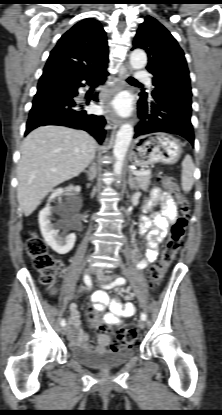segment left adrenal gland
Masks as SVG:
<instances>
[{"mask_svg": "<svg viewBox=\"0 0 222 415\" xmlns=\"http://www.w3.org/2000/svg\"><path fill=\"white\" fill-rule=\"evenodd\" d=\"M128 184L131 189L138 190V187L135 182V178L133 177L131 170H129Z\"/></svg>", "mask_w": 222, "mask_h": 415, "instance_id": "obj_1", "label": "left adrenal gland"}]
</instances>
